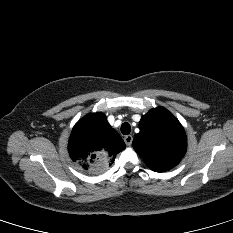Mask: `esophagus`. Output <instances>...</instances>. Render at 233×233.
I'll return each instance as SVG.
<instances>
[{"instance_id":"obj_1","label":"esophagus","mask_w":233,"mask_h":233,"mask_svg":"<svg viewBox=\"0 0 233 233\" xmlns=\"http://www.w3.org/2000/svg\"><path fill=\"white\" fill-rule=\"evenodd\" d=\"M124 141H125L127 146H130L132 144L133 137L131 135H127L124 137Z\"/></svg>"}]
</instances>
